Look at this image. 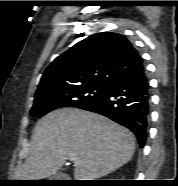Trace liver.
<instances>
[{
	"label": "liver",
	"instance_id": "6515ba94",
	"mask_svg": "<svg viewBox=\"0 0 178 186\" xmlns=\"http://www.w3.org/2000/svg\"><path fill=\"white\" fill-rule=\"evenodd\" d=\"M134 151L135 138L125 127L96 113L61 108L37 122L29 156L18 166L16 177H52L71 156L75 180H95L129 162Z\"/></svg>",
	"mask_w": 178,
	"mask_h": 186
}]
</instances>
